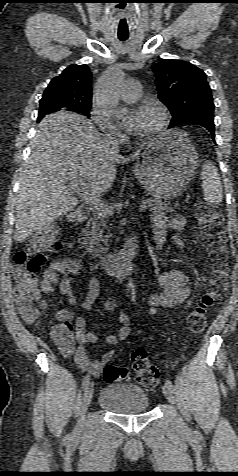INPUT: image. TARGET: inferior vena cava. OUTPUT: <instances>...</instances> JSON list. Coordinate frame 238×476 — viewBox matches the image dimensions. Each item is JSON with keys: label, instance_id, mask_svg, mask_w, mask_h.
I'll use <instances>...</instances> for the list:
<instances>
[{"label": "inferior vena cava", "instance_id": "obj_1", "mask_svg": "<svg viewBox=\"0 0 238 476\" xmlns=\"http://www.w3.org/2000/svg\"><path fill=\"white\" fill-rule=\"evenodd\" d=\"M105 142L110 151L117 153L119 150V142L113 134H107Z\"/></svg>", "mask_w": 238, "mask_h": 476}]
</instances>
